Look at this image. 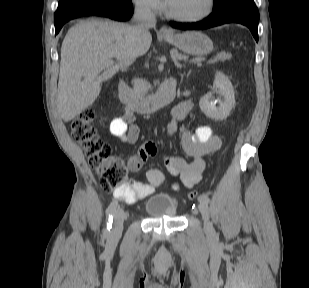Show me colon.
Segmentation results:
<instances>
[{
	"label": "colon",
	"instance_id": "obj_1",
	"mask_svg": "<svg viewBox=\"0 0 309 288\" xmlns=\"http://www.w3.org/2000/svg\"><path fill=\"white\" fill-rule=\"evenodd\" d=\"M96 112L93 109L81 111L71 123L72 139L84 150L88 165L99 174V183L105 191H117L126 186L127 168L114 158L111 147L98 135L95 128ZM199 193H188L190 200H196Z\"/></svg>",
	"mask_w": 309,
	"mask_h": 288
}]
</instances>
